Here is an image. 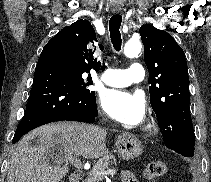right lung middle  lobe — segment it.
<instances>
[{
	"label": "right lung middle lobe",
	"mask_w": 211,
	"mask_h": 182,
	"mask_svg": "<svg viewBox=\"0 0 211 182\" xmlns=\"http://www.w3.org/2000/svg\"><path fill=\"white\" fill-rule=\"evenodd\" d=\"M70 65V69L72 71V74L74 76V79L75 81L77 82L78 85H80V88L81 90L83 91V93L87 94V95H90V96H94L95 95V92L94 91H91L89 90L87 87L92 85L93 84V81L91 79L90 76H88L87 78V81H85L83 78H82V74L83 73H88L74 65Z\"/></svg>",
	"instance_id": "right-lung-middle-lobe-1"
}]
</instances>
